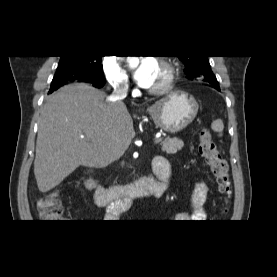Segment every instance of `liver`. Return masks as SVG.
<instances>
[{
    "label": "liver",
    "instance_id": "liver-1",
    "mask_svg": "<svg viewBox=\"0 0 277 277\" xmlns=\"http://www.w3.org/2000/svg\"><path fill=\"white\" fill-rule=\"evenodd\" d=\"M86 83L61 87L40 112L34 175L40 192L59 185L80 165L106 167L119 159L135 136L123 102Z\"/></svg>",
    "mask_w": 277,
    "mask_h": 277
}]
</instances>
